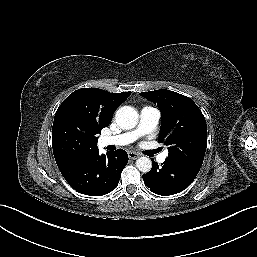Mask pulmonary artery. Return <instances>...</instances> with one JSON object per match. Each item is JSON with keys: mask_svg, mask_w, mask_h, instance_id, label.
Masks as SVG:
<instances>
[{"mask_svg": "<svg viewBox=\"0 0 257 257\" xmlns=\"http://www.w3.org/2000/svg\"><path fill=\"white\" fill-rule=\"evenodd\" d=\"M160 111L151 106H145L140 111V120L138 126L131 131L114 135L105 136L101 138V143L104 146L116 145L124 146L135 142L141 136L149 134L158 125L160 120ZM167 157V153L164 152L158 156V161L163 163Z\"/></svg>", "mask_w": 257, "mask_h": 257, "instance_id": "1", "label": "pulmonary artery"}]
</instances>
